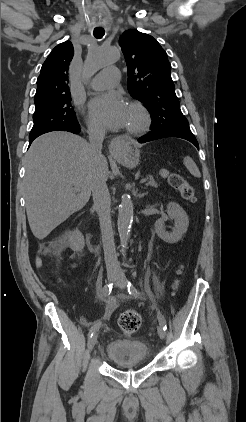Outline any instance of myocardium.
Listing matches in <instances>:
<instances>
[{
	"instance_id": "f54148a6",
	"label": "myocardium",
	"mask_w": 246,
	"mask_h": 422,
	"mask_svg": "<svg viewBox=\"0 0 246 422\" xmlns=\"http://www.w3.org/2000/svg\"><path fill=\"white\" fill-rule=\"evenodd\" d=\"M129 107L137 112L139 122L135 126L126 127V133L133 136H139L146 133L152 124V117L149 110L144 104L138 101L131 102Z\"/></svg>"
}]
</instances>
